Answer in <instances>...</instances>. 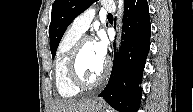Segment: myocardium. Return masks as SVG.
Listing matches in <instances>:
<instances>
[{"label":"myocardium","instance_id":"f54148a6","mask_svg":"<svg viewBox=\"0 0 193 112\" xmlns=\"http://www.w3.org/2000/svg\"><path fill=\"white\" fill-rule=\"evenodd\" d=\"M90 41H93V38L90 36L80 37L75 43V45L73 46L70 53L69 61H68L69 78L73 83V85L79 88L80 90L93 89L99 86L107 78L110 70V63L107 59H105L104 69L100 74V76L95 81L88 82L85 79H83V77L79 72V58H80V54L83 49V46L85 45V43Z\"/></svg>","mask_w":193,"mask_h":112}]
</instances>
